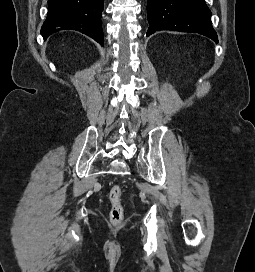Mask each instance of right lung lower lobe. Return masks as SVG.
<instances>
[{
	"label": "right lung lower lobe",
	"mask_w": 255,
	"mask_h": 272,
	"mask_svg": "<svg viewBox=\"0 0 255 272\" xmlns=\"http://www.w3.org/2000/svg\"><path fill=\"white\" fill-rule=\"evenodd\" d=\"M104 0H48L47 18L41 34L46 40L60 30H76L103 43L101 12Z\"/></svg>",
	"instance_id": "1"
}]
</instances>
